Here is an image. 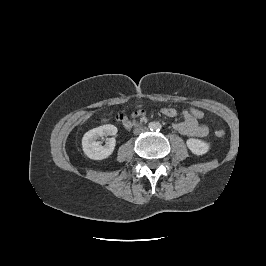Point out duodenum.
I'll use <instances>...</instances> for the list:
<instances>
[{
	"label": "duodenum",
	"mask_w": 266,
	"mask_h": 266,
	"mask_svg": "<svg viewBox=\"0 0 266 266\" xmlns=\"http://www.w3.org/2000/svg\"><path fill=\"white\" fill-rule=\"evenodd\" d=\"M123 127L126 130H131L133 128H135L138 124L134 121H129V120H123Z\"/></svg>",
	"instance_id": "1"
}]
</instances>
